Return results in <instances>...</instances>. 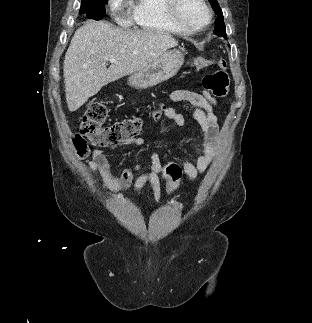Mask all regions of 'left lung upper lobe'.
Returning <instances> with one entry per match:
<instances>
[{
    "mask_svg": "<svg viewBox=\"0 0 312 323\" xmlns=\"http://www.w3.org/2000/svg\"><path fill=\"white\" fill-rule=\"evenodd\" d=\"M213 10L216 14H218V18L215 21L216 27L214 33L218 36L226 38V30H225V24L223 21V13L222 10L217 2V0H209Z\"/></svg>",
    "mask_w": 312,
    "mask_h": 323,
    "instance_id": "1",
    "label": "left lung upper lobe"
}]
</instances>
